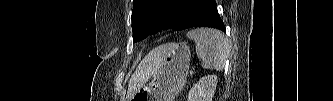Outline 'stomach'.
I'll list each match as a JSON object with an SVG mask.
<instances>
[{
    "mask_svg": "<svg viewBox=\"0 0 333 101\" xmlns=\"http://www.w3.org/2000/svg\"><path fill=\"white\" fill-rule=\"evenodd\" d=\"M161 61L152 80L133 96L134 101H173L182 91L190 65V49L186 43L164 45Z\"/></svg>",
    "mask_w": 333,
    "mask_h": 101,
    "instance_id": "0dacf381",
    "label": "stomach"
}]
</instances>
